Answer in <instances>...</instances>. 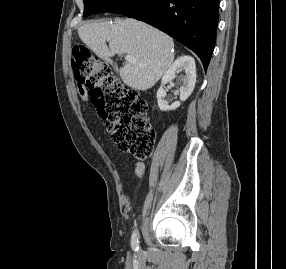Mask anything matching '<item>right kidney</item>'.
Here are the masks:
<instances>
[{
    "label": "right kidney",
    "mask_w": 286,
    "mask_h": 269,
    "mask_svg": "<svg viewBox=\"0 0 286 269\" xmlns=\"http://www.w3.org/2000/svg\"><path fill=\"white\" fill-rule=\"evenodd\" d=\"M178 70L184 71L185 78L183 80V85L180 87V101H175L172 105H169L167 101L164 100L166 96V91L164 90V85L172 81L176 77V72ZM196 83V66L193 57L184 55L179 57L164 74L161 86L157 91V102L158 107L162 111H169L177 109L182 101L188 99V97L193 92Z\"/></svg>",
    "instance_id": "obj_1"
}]
</instances>
